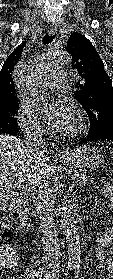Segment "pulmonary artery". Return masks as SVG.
<instances>
[{
	"mask_svg": "<svg viewBox=\"0 0 113 279\" xmlns=\"http://www.w3.org/2000/svg\"><path fill=\"white\" fill-rule=\"evenodd\" d=\"M66 75L64 73H52L42 81V86L45 89H59L65 83Z\"/></svg>",
	"mask_w": 113,
	"mask_h": 279,
	"instance_id": "e3ab8cb5",
	"label": "pulmonary artery"
}]
</instances>
